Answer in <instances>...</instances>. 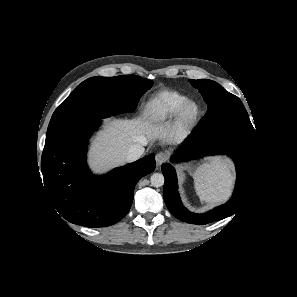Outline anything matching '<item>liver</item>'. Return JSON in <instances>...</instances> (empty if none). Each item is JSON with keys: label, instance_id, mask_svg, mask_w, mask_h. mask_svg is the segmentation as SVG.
I'll return each mask as SVG.
<instances>
[{"label": "liver", "instance_id": "liver-1", "mask_svg": "<svg viewBox=\"0 0 297 297\" xmlns=\"http://www.w3.org/2000/svg\"><path fill=\"white\" fill-rule=\"evenodd\" d=\"M141 136L147 142L162 139L171 143L181 138V134L173 126L168 123L161 125L146 117L108 120L104 130L95 137L91 145V166L100 171L124 164L128 149L134 144H140Z\"/></svg>", "mask_w": 297, "mask_h": 297}]
</instances>
